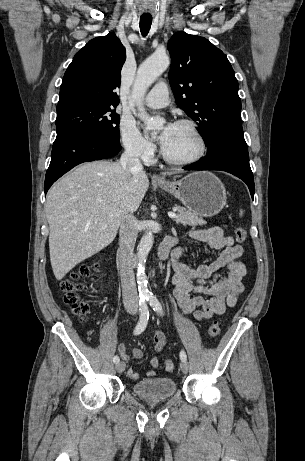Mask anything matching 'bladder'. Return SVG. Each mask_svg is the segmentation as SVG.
Here are the masks:
<instances>
[{"label": "bladder", "instance_id": "1", "mask_svg": "<svg viewBox=\"0 0 305 461\" xmlns=\"http://www.w3.org/2000/svg\"><path fill=\"white\" fill-rule=\"evenodd\" d=\"M132 390L142 398L165 400L176 394L177 387L171 377H153L133 383Z\"/></svg>", "mask_w": 305, "mask_h": 461}]
</instances>
